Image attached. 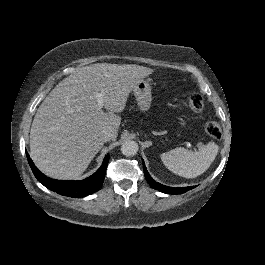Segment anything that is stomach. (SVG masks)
Returning a JSON list of instances; mask_svg holds the SVG:
<instances>
[{"mask_svg":"<svg viewBox=\"0 0 265 265\" xmlns=\"http://www.w3.org/2000/svg\"><path fill=\"white\" fill-rule=\"evenodd\" d=\"M133 94L141 111H147L152 101L151 86L145 80H141L133 87Z\"/></svg>","mask_w":265,"mask_h":265,"instance_id":"0dacf381","label":"stomach"}]
</instances>
